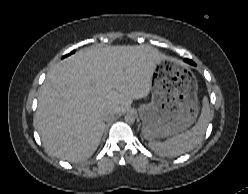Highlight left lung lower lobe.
Listing matches in <instances>:
<instances>
[{"instance_id":"1","label":"left lung lower lobe","mask_w":248,"mask_h":194,"mask_svg":"<svg viewBox=\"0 0 248 194\" xmlns=\"http://www.w3.org/2000/svg\"><path fill=\"white\" fill-rule=\"evenodd\" d=\"M185 62H188V63H190L192 65H195L194 62H192L191 60H188V59H185Z\"/></svg>"}]
</instances>
